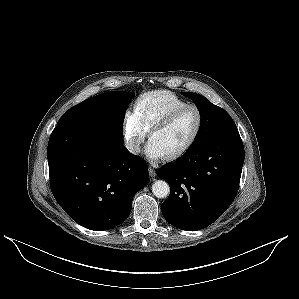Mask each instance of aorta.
<instances>
[{"mask_svg": "<svg viewBox=\"0 0 299 299\" xmlns=\"http://www.w3.org/2000/svg\"><path fill=\"white\" fill-rule=\"evenodd\" d=\"M152 192L157 198H165L170 193V187L166 181L157 180L152 185Z\"/></svg>", "mask_w": 299, "mask_h": 299, "instance_id": "aorta-1", "label": "aorta"}]
</instances>
